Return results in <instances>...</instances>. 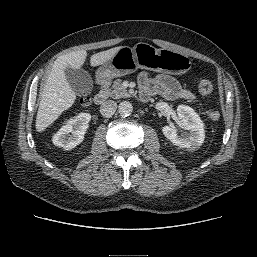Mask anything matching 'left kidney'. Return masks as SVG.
I'll return each mask as SVG.
<instances>
[{"label":"left kidney","mask_w":257,"mask_h":257,"mask_svg":"<svg viewBox=\"0 0 257 257\" xmlns=\"http://www.w3.org/2000/svg\"><path fill=\"white\" fill-rule=\"evenodd\" d=\"M177 114L181 120V127L188 130L189 133L179 136L173 126L166 125L162 129L165 137L180 148L196 149L201 146L204 142L205 132L199 115L186 105H179Z\"/></svg>","instance_id":"obj_1"}]
</instances>
